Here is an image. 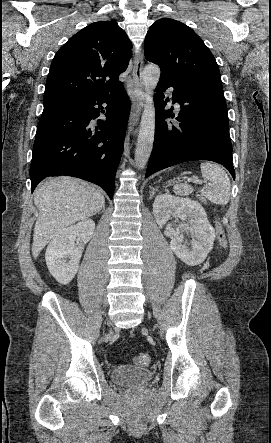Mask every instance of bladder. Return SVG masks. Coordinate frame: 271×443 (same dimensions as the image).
I'll use <instances>...</instances> for the list:
<instances>
[{
  "label": "bladder",
  "mask_w": 271,
  "mask_h": 443,
  "mask_svg": "<svg viewBox=\"0 0 271 443\" xmlns=\"http://www.w3.org/2000/svg\"><path fill=\"white\" fill-rule=\"evenodd\" d=\"M153 373L150 369L133 365H119L112 369L111 380L122 386H138L151 380Z\"/></svg>",
  "instance_id": "1"
}]
</instances>
